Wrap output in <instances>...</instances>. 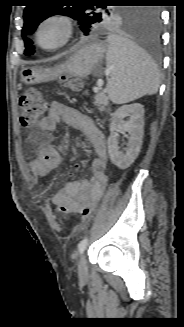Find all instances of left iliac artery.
<instances>
[{
  "label": "left iliac artery",
  "instance_id": "44dca946",
  "mask_svg": "<svg viewBox=\"0 0 184 327\" xmlns=\"http://www.w3.org/2000/svg\"><path fill=\"white\" fill-rule=\"evenodd\" d=\"M87 244H88V238H84L80 241V243L78 244V250L80 254H82L85 251Z\"/></svg>",
  "mask_w": 184,
  "mask_h": 327
}]
</instances>
